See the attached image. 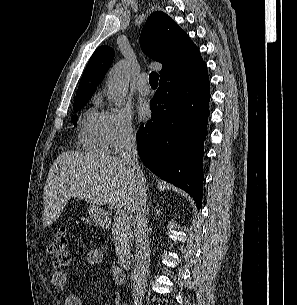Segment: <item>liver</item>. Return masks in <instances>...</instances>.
<instances>
[{
	"instance_id": "liver-1",
	"label": "liver",
	"mask_w": 297,
	"mask_h": 305,
	"mask_svg": "<svg viewBox=\"0 0 297 305\" xmlns=\"http://www.w3.org/2000/svg\"><path fill=\"white\" fill-rule=\"evenodd\" d=\"M136 180L121 157L90 152L61 153L51 166L43 195L42 222L52 225L71 198L132 212Z\"/></svg>"
}]
</instances>
